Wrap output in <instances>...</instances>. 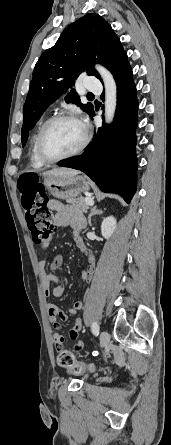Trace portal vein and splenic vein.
<instances>
[{"label": "portal vein and splenic vein", "mask_w": 171, "mask_h": 445, "mask_svg": "<svg viewBox=\"0 0 171 445\" xmlns=\"http://www.w3.org/2000/svg\"><path fill=\"white\" fill-rule=\"evenodd\" d=\"M85 202L88 204V205H93L94 204V202H93V200L91 199V198H86L85 199Z\"/></svg>", "instance_id": "1"}]
</instances>
